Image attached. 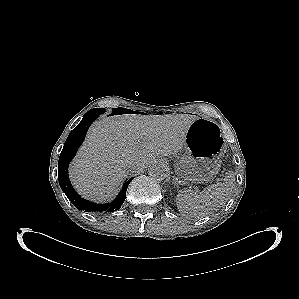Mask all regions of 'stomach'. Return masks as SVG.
I'll list each match as a JSON object with an SVG mask.
<instances>
[{"instance_id": "obj_1", "label": "stomach", "mask_w": 299, "mask_h": 299, "mask_svg": "<svg viewBox=\"0 0 299 299\" xmlns=\"http://www.w3.org/2000/svg\"><path fill=\"white\" fill-rule=\"evenodd\" d=\"M224 149L219 125L210 119L198 117L186 133L184 155L175 164L176 173L185 181H208L218 173L220 164L217 159Z\"/></svg>"}]
</instances>
